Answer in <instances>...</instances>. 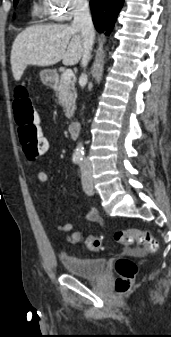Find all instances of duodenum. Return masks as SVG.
Returning a JSON list of instances; mask_svg holds the SVG:
<instances>
[{
  "label": "duodenum",
  "instance_id": "1",
  "mask_svg": "<svg viewBox=\"0 0 171 337\" xmlns=\"http://www.w3.org/2000/svg\"><path fill=\"white\" fill-rule=\"evenodd\" d=\"M81 124L79 122H72L68 126V132L72 137H77L80 132Z\"/></svg>",
  "mask_w": 171,
  "mask_h": 337
}]
</instances>
